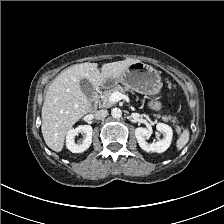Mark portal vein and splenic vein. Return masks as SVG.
Listing matches in <instances>:
<instances>
[{"mask_svg":"<svg viewBox=\"0 0 224 224\" xmlns=\"http://www.w3.org/2000/svg\"><path fill=\"white\" fill-rule=\"evenodd\" d=\"M122 99L125 100L126 102H129V97L125 94L120 93V92H113L109 97V100L113 103L118 102Z\"/></svg>","mask_w":224,"mask_h":224,"instance_id":"obj_1","label":"portal vein and splenic vein"}]
</instances>
